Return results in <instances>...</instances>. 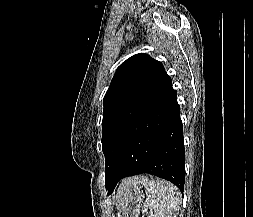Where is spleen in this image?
<instances>
[{
  "label": "spleen",
  "instance_id": "spleen-1",
  "mask_svg": "<svg viewBox=\"0 0 253 217\" xmlns=\"http://www.w3.org/2000/svg\"><path fill=\"white\" fill-rule=\"evenodd\" d=\"M144 186L147 199L142 217L148 209L151 214L148 217H176L181 202L179 191L172 183L165 180H151Z\"/></svg>",
  "mask_w": 253,
  "mask_h": 217
}]
</instances>
